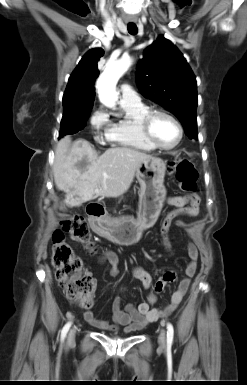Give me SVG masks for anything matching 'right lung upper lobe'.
I'll list each match as a JSON object with an SVG mask.
<instances>
[{
	"mask_svg": "<svg viewBox=\"0 0 247 385\" xmlns=\"http://www.w3.org/2000/svg\"><path fill=\"white\" fill-rule=\"evenodd\" d=\"M103 54L104 51L101 48H95L82 57L69 78L63 95V105L93 106L95 99L93 86L99 75L97 62Z\"/></svg>",
	"mask_w": 247,
	"mask_h": 385,
	"instance_id": "obj_1",
	"label": "right lung upper lobe"
}]
</instances>
